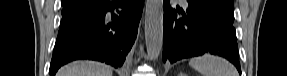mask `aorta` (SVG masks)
Returning <instances> with one entry per match:
<instances>
[{
  "label": "aorta",
  "mask_w": 287,
  "mask_h": 76,
  "mask_svg": "<svg viewBox=\"0 0 287 76\" xmlns=\"http://www.w3.org/2000/svg\"><path fill=\"white\" fill-rule=\"evenodd\" d=\"M145 43L150 59H157L163 45V0H148L145 11Z\"/></svg>",
  "instance_id": "obj_1"
}]
</instances>
